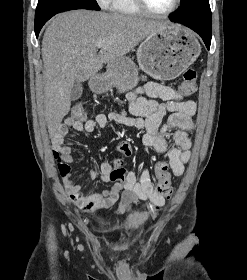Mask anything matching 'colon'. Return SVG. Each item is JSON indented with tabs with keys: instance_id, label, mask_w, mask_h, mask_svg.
Returning a JSON list of instances; mask_svg holds the SVG:
<instances>
[{
	"instance_id": "5ec220e1",
	"label": "colon",
	"mask_w": 247,
	"mask_h": 280,
	"mask_svg": "<svg viewBox=\"0 0 247 280\" xmlns=\"http://www.w3.org/2000/svg\"><path fill=\"white\" fill-rule=\"evenodd\" d=\"M196 79L197 73L194 69L189 68L184 71L182 82L180 84V91L182 94L188 96L196 91ZM72 117L75 120L83 121L86 118L85 104L83 102H77L71 111ZM119 150L124 155L129 156L132 154V147L130 143L122 142L119 145ZM66 168L59 164V170H65ZM128 173L122 166H117L110 173V189L112 191H121L123 187L127 186ZM156 175V190L166 198L172 196L173 190L170 184V174L168 172V166L165 162H158L155 165Z\"/></svg>"
}]
</instances>
